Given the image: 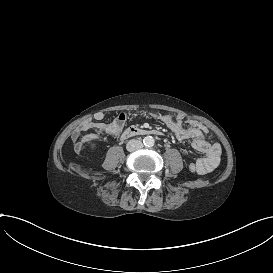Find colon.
<instances>
[{"instance_id":"5ec220e1","label":"colon","mask_w":273,"mask_h":273,"mask_svg":"<svg viewBox=\"0 0 273 273\" xmlns=\"http://www.w3.org/2000/svg\"><path fill=\"white\" fill-rule=\"evenodd\" d=\"M94 123H95V120H94V119H90V120L88 121V124H89V125H92V124H94ZM81 130H82V131H85V130H86V127H85V126H82V127H81Z\"/></svg>"}]
</instances>
